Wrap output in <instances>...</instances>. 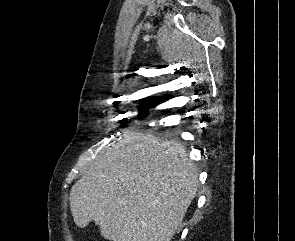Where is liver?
Wrapping results in <instances>:
<instances>
[{"instance_id":"6515ba94","label":"liver","mask_w":295,"mask_h":241,"mask_svg":"<svg viewBox=\"0 0 295 241\" xmlns=\"http://www.w3.org/2000/svg\"><path fill=\"white\" fill-rule=\"evenodd\" d=\"M72 186L74 222L94 220L110 241H170L196 195L198 171L185 147L125 131Z\"/></svg>"}]
</instances>
